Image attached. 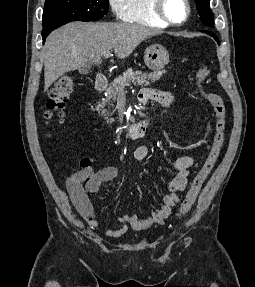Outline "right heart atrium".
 Wrapping results in <instances>:
<instances>
[{
  "label": "right heart atrium",
  "instance_id": "d8ad5b80",
  "mask_svg": "<svg viewBox=\"0 0 255 287\" xmlns=\"http://www.w3.org/2000/svg\"><path fill=\"white\" fill-rule=\"evenodd\" d=\"M113 33H115V32H113ZM110 48H117V47H110Z\"/></svg>",
  "mask_w": 255,
  "mask_h": 287
}]
</instances>
